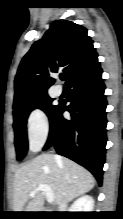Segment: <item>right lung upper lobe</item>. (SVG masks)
Wrapping results in <instances>:
<instances>
[{
  "label": "right lung upper lobe",
  "instance_id": "obj_1",
  "mask_svg": "<svg viewBox=\"0 0 123 219\" xmlns=\"http://www.w3.org/2000/svg\"><path fill=\"white\" fill-rule=\"evenodd\" d=\"M97 57L87 29L71 21L56 20L41 40L23 57L15 77L14 104L47 94L54 79L50 73L62 70L72 77Z\"/></svg>",
  "mask_w": 123,
  "mask_h": 219
}]
</instances>
